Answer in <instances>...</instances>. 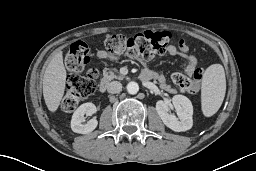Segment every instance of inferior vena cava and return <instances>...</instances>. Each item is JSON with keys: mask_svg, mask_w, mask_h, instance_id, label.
Returning a JSON list of instances; mask_svg holds the SVG:
<instances>
[{"mask_svg": "<svg viewBox=\"0 0 256 171\" xmlns=\"http://www.w3.org/2000/svg\"><path fill=\"white\" fill-rule=\"evenodd\" d=\"M122 90V84L118 81H112L107 86V91L111 94L119 93Z\"/></svg>", "mask_w": 256, "mask_h": 171, "instance_id": "602c4592", "label": "inferior vena cava"}]
</instances>
